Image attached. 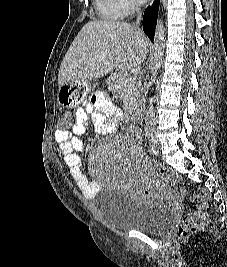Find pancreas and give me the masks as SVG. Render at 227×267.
<instances>
[{
  "label": "pancreas",
  "instance_id": "pancreas-1",
  "mask_svg": "<svg viewBox=\"0 0 227 267\" xmlns=\"http://www.w3.org/2000/svg\"><path fill=\"white\" fill-rule=\"evenodd\" d=\"M130 77L127 72L119 71L109 79L110 87L124 98L126 108H134L139 104V87Z\"/></svg>",
  "mask_w": 227,
  "mask_h": 267
}]
</instances>
